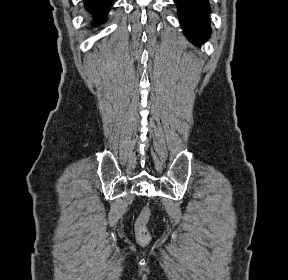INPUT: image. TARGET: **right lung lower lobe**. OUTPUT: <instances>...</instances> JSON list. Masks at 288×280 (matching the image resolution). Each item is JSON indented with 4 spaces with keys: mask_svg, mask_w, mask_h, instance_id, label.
<instances>
[{
    "mask_svg": "<svg viewBox=\"0 0 288 280\" xmlns=\"http://www.w3.org/2000/svg\"><path fill=\"white\" fill-rule=\"evenodd\" d=\"M86 8L97 18H102L113 5V0H84Z\"/></svg>",
    "mask_w": 288,
    "mask_h": 280,
    "instance_id": "obj_1",
    "label": "right lung lower lobe"
}]
</instances>
